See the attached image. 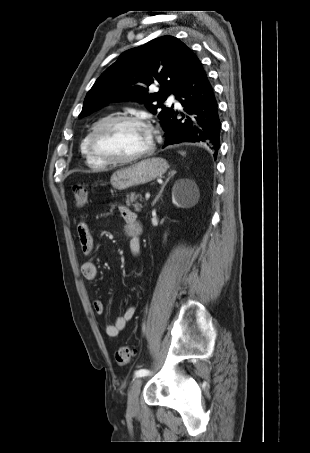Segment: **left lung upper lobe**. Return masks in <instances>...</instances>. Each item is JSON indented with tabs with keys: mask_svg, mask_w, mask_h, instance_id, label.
<instances>
[{
	"mask_svg": "<svg viewBox=\"0 0 310 453\" xmlns=\"http://www.w3.org/2000/svg\"><path fill=\"white\" fill-rule=\"evenodd\" d=\"M193 52L176 37L162 36L142 46L125 51L107 68L87 93L79 117H84L105 103L137 100L146 103L151 112L161 108L162 125L173 109L162 103L177 92L188 71ZM160 85V91L148 93V87ZM157 101L158 105L152 103Z\"/></svg>",
	"mask_w": 310,
	"mask_h": 453,
	"instance_id": "obj_1",
	"label": "left lung upper lobe"
}]
</instances>
